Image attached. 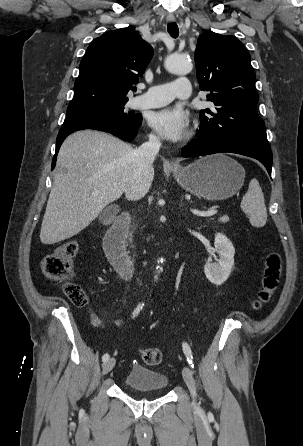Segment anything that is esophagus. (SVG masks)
<instances>
[{"label": "esophagus", "instance_id": "34e87169", "mask_svg": "<svg viewBox=\"0 0 303 446\" xmlns=\"http://www.w3.org/2000/svg\"><path fill=\"white\" fill-rule=\"evenodd\" d=\"M167 22H168V23H173V22H175V18H173V17H169V18H167ZM170 164H171L172 166H176V165H177V162L174 161V160H172V161H170Z\"/></svg>", "mask_w": 303, "mask_h": 446}]
</instances>
